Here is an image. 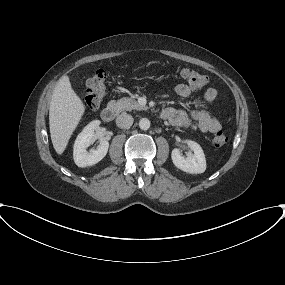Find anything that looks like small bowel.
<instances>
[{
    "mask_svg": "<svg viewBox=\"0 0 285 285\" xmlns=\"http://www.w3.org/2000/svg\"><path fill=\"white\" fill-rule=\"evenodd\" d=\"M191 91V88L184 83L175 85V92L182 98L189 97ZM217 95V90L209 87L204 92V100L211 103L217 98ZM161 117L168 120L174 126L202 133H218L221 130L219 119L206 109L185 111L174 107H167L162 111Z\"/></svg>",
    "mask_w": 285,
    "mask_h": 285,
    "instance_id": "c3829d8e",
    "label": "small bowel"
}]
</instances>
